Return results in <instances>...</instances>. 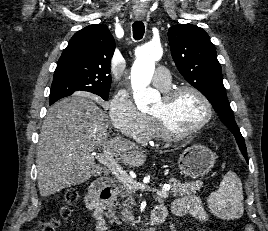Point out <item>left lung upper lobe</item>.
<instances>
[{
  "label": "left lung upper lobe",
  "instance_id": "obj_1",
  "mask_svg": "<svg viewBox=\"0 0 268 231\" xmlns=\"http://www.w3.org/2000/svg\"><path fill=\"white\" fill-rule=\"evenodd\" d=\"M168 39L172 58L181 75L206 96L221 122L235 136L240 150L246 151L226 96L214 44L206 31L192 24H178L169 28Z\"/></svg>",
  "mask_w": 268,
  "mask_h": 231
}]
</instances>
